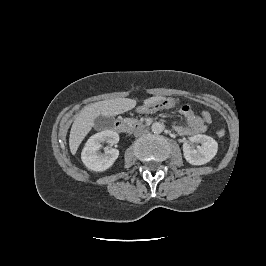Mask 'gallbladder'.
Here are the masks:
<instances>
[{
  "label": "gallbladder",
  "mask_w": 266,
  "mask_h": 266,
  "mask_svg": "<svg viewBox=\"0 0 266 266\" xmlns=\"http://www.w3.org/2000/svg\"><path fill=\"white\" fill-rule=\"evenodd\" d=\"M114 123L113 117L98 116L94 121V126L97 129L111 128Z\"/></svg>",
  "instance_id": "gallbladder-1"
}]
</instances>
